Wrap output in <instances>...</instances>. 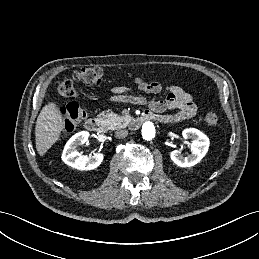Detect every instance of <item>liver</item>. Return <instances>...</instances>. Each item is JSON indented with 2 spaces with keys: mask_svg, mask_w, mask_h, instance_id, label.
Returning <instances> with one entry per match:
<instances>
[{
  "mask_svg": "<svg viewBox=\"0 0 259 259\" xmlns=\"http://www.w3.org/2000/svg\"><path fill=\"white\" fill-rule=\"evenodd\" d=\"M64 129V119L62 114L54 102L46 104L36 121L35 142L36 149L40 156L55 144Z\"/></svg>",
  "mask_w": 259,
  "mask_h": 259,
  "instance_id": "6515ba94",
  "label": "liver"
}]
</instances>
